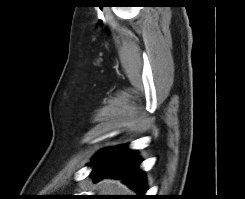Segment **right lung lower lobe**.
<instances>
[{
    "label": "right lung lower lobe",
    "mask_w": 245,
    "mask_h": 199,
    "mask_svg": "<svg viewBox=\"0 0 245 199\" xmlns=\"http://www.w3.org/2000/svg\"><path fill=\"white\" fill-rule=\"evenodd\" d=\"M141 160L134 150L125 145L100 151L91 161L90 177L98 181L105 177L121 179L140 194L145 192L143 172L139 169Z\"/></svg>",
    "instance_id": "98d812e1"
}]
</instances>
